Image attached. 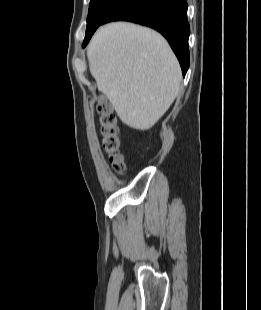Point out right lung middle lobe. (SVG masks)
Segmentation results:
<instances>
[{"label": "right lung middle lobe", "mask_w": 261, "mask_h": 310, "mask_svg": "<svg viewBox=\"0 0 261 310\" xmlns=\"http://www.w3.org/2000/svg\"><path fill=\"white\" fill-rule=\"evenodd\" d=\"M125 1L126 0H91L87 17L86 34L91 30H95L117 7Z\"/></svg>", "instance_id": "1"}]
</instances>
